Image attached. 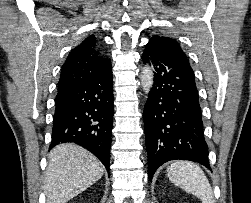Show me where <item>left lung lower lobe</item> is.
Wrapping results in <instances>:
<instances>
[{"label":"left lung lower lobe","instance_id":"obj_1","mask_svg":"<svg viewBox=\"0 0 251 203\" xmlns=\"http://www.w3.org/2000/svg\"><path fill=\"white\" fill-rule=\"evenodd\" d=\"M154 68V85L144 109L148 177L163 163L181 159L208 169V147L193 70L170 46L149 41L142 55Z\"/></svg>","mask_w":251,"mask_h":203}]
</instances>
